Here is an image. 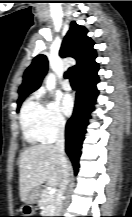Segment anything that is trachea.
I'll list each match as a JSON object with an SVG mask.
<instances>
[{"label":"trachea","mask_w":132,"mask_h":217,"mask_svg":"<svg viewBox=\"0 0 132 217\" xmlns=\"http://www.w3.org/2000/svg\"><path fill=\"white\" fill-rule=\"evenodd\" d=\"M70 83H71L73 88L77 87V80H76V78L74 76L70 77Z\"/></svg>","instance_id":"trachea-1"}]
</instances>
